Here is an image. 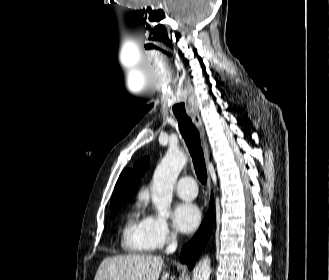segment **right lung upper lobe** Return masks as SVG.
<instances>
[{
	"instance_id": "cb5924a9",
	"label": "right lung upper lobe",
	"mask_w": 329,
	"mask_h": 280,
	"mask_svg": "<svg viewBox=\"0 0 329 280\" xmlns=\"http://www.w3.org/2000/svg\"><path fill=\"white\" fill-rule=\"evenodd\" d=\"M148 167V158L145 157L134 165V170L127 169L121 173L115 185L111 198V207L118 202L128 199L138 190L140 177Z\"/></svg>"
}]
</instances>
